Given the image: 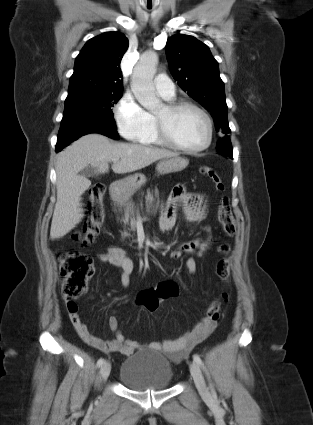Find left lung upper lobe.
<instances>
[{
  "label": "left lung upper lobe",
  "instance_id": "left-lung-upper-lobe-1",
  "mask_svg": "<svg viewBox=\"0 0 313 425\" xmlns=\"http://www.w3.org/2000/svg\"><path fill=\"white\" fill-rule=\"evenodd\" d=\"M165 50L170 72L178 85L211 113L217 131L230 133L224 83L208 46L193 36L177 34L168 38ZM217 150L232 158L229 138L220 139Z\"/></svg>",
  "mask_w": 313,
  "mask_h": 425
}]
</instances>
